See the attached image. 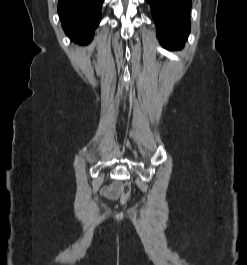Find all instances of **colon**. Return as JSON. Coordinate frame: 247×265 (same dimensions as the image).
<instances>
[{
	"mask_svg": "<svg viewBox=\"0 0 247 265\" xmlns=\"http://www.w3.org/2000/svg\"><path fill=\"white\" fill-rule=\"evenodd\" d=\"M131 193V185L129 183H124L121 188V203H126Z\"/></svg>",
	"mask_w": 247,
	"mask_h": 265,
	"instance_id": "obj_1",
	"label": "colon"
}]
</instances>
